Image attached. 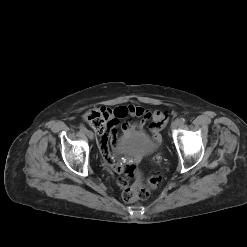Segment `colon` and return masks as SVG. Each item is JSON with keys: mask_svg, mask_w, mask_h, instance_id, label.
<instances>
[{"mask_svg": "<svg viewBox=\"0 0 247 247\" xmlns=\"http://www.w3.org/2000/svg\"><path fill=\"white\" fill-rule=\"evenodd\" d=\"M86 122L98 133L103 134L108 128V118L103 110H91L85 114ZM126 177L134 180V184L127 187L123 193V200L133 202L138 199H146L150 194V189H154L160 182V177L152 175L147 180V185L142 182L141 175L134 165H126L124 168Z\"/></svg>", "mask_w": 247, "mask_h": 247, "instance_id": "1", "label": "colon"}]
</instances>
